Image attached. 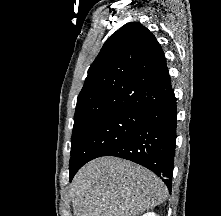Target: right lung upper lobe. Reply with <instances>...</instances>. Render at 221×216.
Instances as JSON below:
<instances>
[{"mask_svg": "<svg viewBox=\"0 0 221 216\" xmlns=\"http://www.w3.org/2000/svg\"><path fill=\"white\" fill-rule=\"evenodd\" d=\"M171 88L165 56L143 25L127 23L103 45L78 96L74 125L118 110L145 112Z\"/></svg>", "mask_w": 221, "mask_h": 216, "instance_id": "cb5924a9", "label": "right lung upper lobe"}]
</instances>
